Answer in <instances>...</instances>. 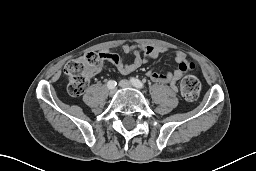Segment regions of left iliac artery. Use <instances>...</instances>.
Here are the masks:
<instances>
[{
  "label": "left iliac artery",
  "mask_w": 256,
  "mask_h": 171,
  "mask_svg": "<svg viewBox=\"0 0 256 171\" xmlns=\"http://www.w3.org/2000/svg\"><path fill=\"white\" fill-rule=\"evenodd\" d=\"M131 82L137 88H144V84L137 78H131Z\"/></svg>",
  "instance_id": "1"
}]
</instances>
